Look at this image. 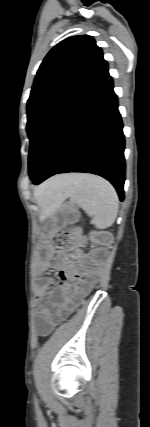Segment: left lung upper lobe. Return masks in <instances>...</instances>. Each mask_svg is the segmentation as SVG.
I'll return each mask as SVG.
<instances>
[{
    "label": "left lung upper lobe",
    "instance_id": "obj_1",
    "mask_svg": "<svg viewBox=\"0 0 150 427\" xmlns=\"http://www.w3.org/2000/svg\"><path fill=\"white\" fill-rule=\"evenodd\" d=\"M108 68L92 37H69L57 44L37 71L27 105L30 141L38 129Z\"/></svg>",
    "mask_w": 150,
    "mask_h": 427
}]
</instances>
